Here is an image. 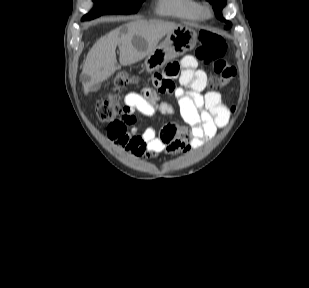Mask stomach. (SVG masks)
<instances>
[{"label":"stomach","instance_id":"0dacf381","mask_svg":"<svg viewBox=\"0 0 309 288\" xmlns=\"http://www.w3.org/2000/svg\"><path fill=\"white\" fill-rule=\"evenodd\" d=\"M196 43V31L187 25H179L167 34L151 54L146 56L147 71L152 72L162 68L167 62L192 50Z\"/></svg>","mask_w":309,"mask_h":288}]
</instances>
